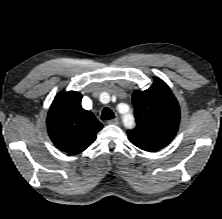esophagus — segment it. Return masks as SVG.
I'll return each mask as SVG.
<instances>
[{"instance_id": "obj_1", "label": "esophagus", "mask_w": 222, "mask_h": 219, "mask_svg": "<svg viewBox=\"0 0 222 219\" xmlns=\"http://www.w3.org/2000/svg\"><path fill=\"white\" fill-rule=\"evenodd\" d=\"M107 123L110 124V125L111 124L112 125H117L119 123V119L118 118H114L112 120H109Z\"/></svg>"}]
</instances>
